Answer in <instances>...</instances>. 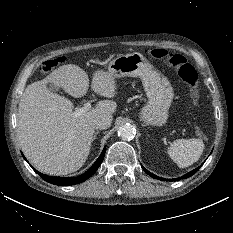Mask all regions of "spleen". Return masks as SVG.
I'll use <instances>...</instances> for the list:
<instances>
[{"label": "spleen", "instance_id": "spleen-1", "mask_svg": "<svg viewBox=\"0 0 233 233\" xmlns=\"http://www.w3.org/2000/svg\"><path fill=\"white\" fill-rule=\"evenodd\" d=\"M203 150L200 139H178L168 148V154L180 168H186L199 160Z\"/></svg>", "mask_w": 233, "mask_h": 233}]
</instances>
